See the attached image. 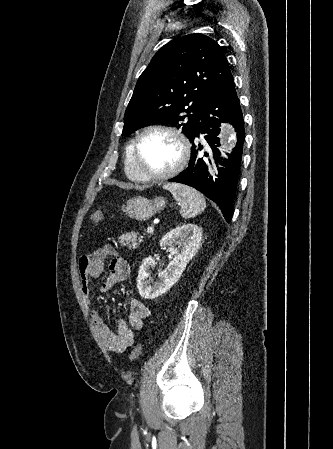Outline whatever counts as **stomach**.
<instances>
[{"label":"stomach","instance_id":"stomach-1","mask_svg":"<svg viewBox=\"0 0 333 449\" xmlns=\"http://www.w3.org/2000/svg\"><path fill=\"white\" fill-rule=\"evenodd\" d=\"M165 205L166 200L163 197H156L151 200L138 196L129 199L123 207V211L130 218L143 221L151 218L156 212L162 210Z\"/></svg>","mask_w":333,"mask_h":449}]
</instances>
